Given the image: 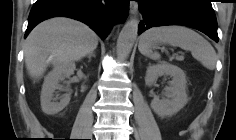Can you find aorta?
Masks as SVG:
<instances>
[{
  "label": "aorta",
  "mask_w": 236,
  "mask_h": 140,
  "mask_svg": "<svg viewBox=\"0 0 236 140\" xmlns=\"http://www.w3.org/2000/svg\"><path fill=\"white\" fill-rule=\"evenodd\" d=\"M138 26L139 21L132 18L122 28L116 45L118 58L125 59L129 56L138 35Z\"/></svg>",
  "instance_id": "aorta-1"
}]
</instances>
